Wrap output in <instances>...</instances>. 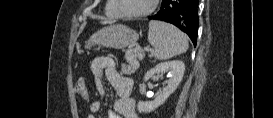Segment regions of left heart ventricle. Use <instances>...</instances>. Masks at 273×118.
<instances>
[{
    "label": "left heart ventricle",
    "instance_id": "obj_1",
    "mask_svg": "<svg viewBox=\"0 0 273 118\" xmlns=\"http://www.w3.org/2000/svg\"><path fill=\"white\" fill-rule=\"evenodd\" d=\"M152 0H122L124 9L129 13H139L148 9Z\"/></svg>",
    "mask_w": 273,
    "mask_h": 118
}]
</instances>
